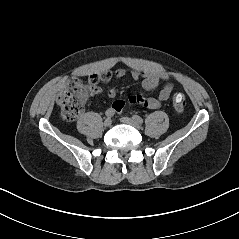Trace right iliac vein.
<instances>
[{
  "label": "right iliac vein",
  "instance_id": "1",
  "mask_svg": "<svg viewBox=\"0 0 239 239\" xmlns=\"http://www.w3.org/2000/svg\"><path fill=\"white\" fill-rule=\"evenodd\" d=\"M111 124H112V120H111L110 118H107V119L104 120L103 125H104L105 127H110Z\"/></svg>",
  "mask_w": 239,
  "mask_h": 239
}]
</instances>
